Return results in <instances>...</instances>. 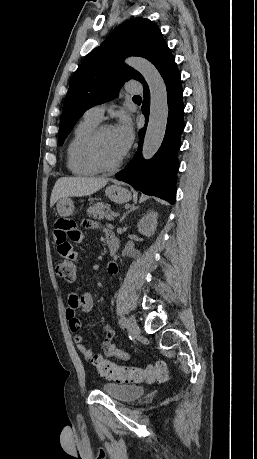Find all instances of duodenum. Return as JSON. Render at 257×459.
Segmentation results:
<instances>
[{"instance_id": "1", "label": "duodenum", "mask_w": 257, "mask_h": 459, "mask_svg": "<svg viewBox=\"0 0 257 459\" xmlns=\"http://www.w3.org/2000/svg\"><path fill=\"white\" fill-rule=\"evenodd\" d=\"M109 253L115 255L118 251V239L112 231H106Z\"/></svg>"}]
</instances>
